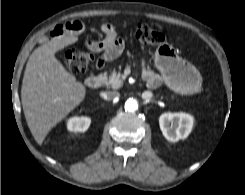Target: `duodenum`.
<instances>
[{
  "label": "duodenum",
  "instance_id": "duodenum-1",
  "mask_svg": "<svg viewBox=\"0 0 245 195\" xmlns=\"http://www.w3.org/2000/svg\"><path fill=\"white\" fill-rule=\"evenodd\" d=\"M102 82L103 79L100 76H89L85 80V85L90 89H96L102 84ZM145 82L146 85L151 89L157 88L160 84L159 81L155 79L152 80L145 79Z\"/></svg>",
  "mask_w": 245,
  "mask_h": 195
}]
</instances>
